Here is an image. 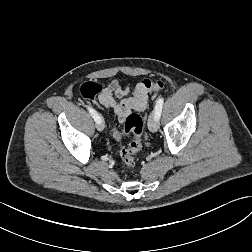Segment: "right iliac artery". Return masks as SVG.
Segmentation results:
<instances>
[{"mask_svg":"<svg viewBox=\"0 0 252 252\" xmlns=\"http://www.w3.org/2000/svg\"><path fill=\"white\" fill-rule=\"evenodd\" d=\"M90 115L94 118L96 123H99L102 119L101 117L97 114V112L92 108V107H87Z\"/></svg>","mask_w":252,"mask_h":252,"instance_id":"82829eb1","label":"right iliac artery"}]
</instances>
